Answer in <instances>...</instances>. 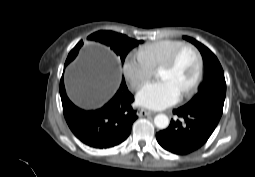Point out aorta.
Segmentation results:
<instances>
[{
    "instance_id": "obj_1",
    "label": "aorta",
    "mask_w": 255,
    "mask_h": 177,
    "mask_svg": "<svg viewBox=\"0 0 255 177\" xmlns=\"http://www.w3.org/2000/svg\"><path fill=\"white\" fill-rule=\"evenodd\" d=\"M154 124L159 129H165L169 125V118L165 114H158L154 118Z\"/></svg>"
}]
</instances>
